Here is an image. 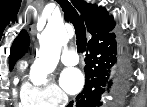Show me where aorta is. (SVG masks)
I'll list each match as a JSON object with an SVG mask.
<instances>
[{"label":"aorta","mask_w":147,"mask_h":107,"mask_svg":"<svg viewBox=\"0 0 147 107\" xmlns=\"http://www.w3.org/2000/svg\"><path fill=\"white\" fill-rule=\"evenodd\" d=\"M69 40L62 21H50L40 37V50L31 73L38 84L46 83V76L59 62L61 48Z\"/></svg>","instance_id":"1"}]
</instances>
